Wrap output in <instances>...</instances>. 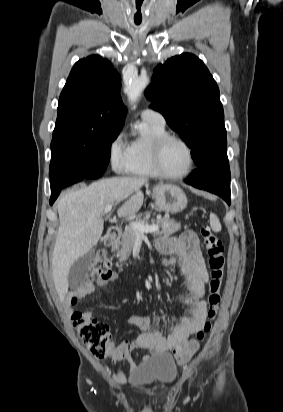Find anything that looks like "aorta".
<instances>
[{
	"label": "aorta",
	"mask_w": 283,
	"mask_h": 412,
	"mask_svg": "<svg viewBox=\"0 0 283 412\" xmlns=\"http://www.w3.org/2000/svg\"><path fill=\"white\" fill-rule=\"evenodd\" d=\"M148 84L149 80L142 78L131 79L127 82L125 92L127 93L128 100L132 105L138 101L141 93L148 86Z\"/></svg>",
	"instance_id": "aorta-1"
}]
</instances>
